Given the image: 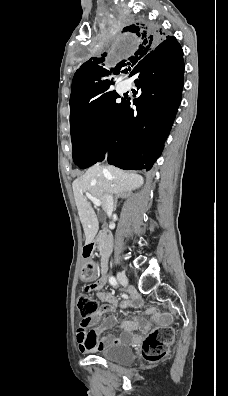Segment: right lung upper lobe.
<instances>
[{"label":"right lung upper lobe","mask_w":228,"mask_h":396,"mask_svg":"<svg viewBox=\"0 0 228 396\" xmlns=\"http://www.w3.org/2000/svg\"><path fill=\"white\" fill-rule=\"evenodd\" d=\"M129 31L136 33L139 38V46L133 56L120 61L109 71L100 65L105 60L106 53H104L102 58H90L75 72L70 96V118L83 112L103 95V92L109 88L110 84H113L112 81H101V77L109 76L111 72L118 74L124 66L130 64L133 67L130 74L132 76L138 68L139 62L145 57L150 56L158 46L161 49L164 46L169 47L178 43L175 37L169 36L157 46V41L160 35H162V32L160 31L159 33L156 31V33H150L144 26H132L129 28Z\"/></svg>","instance_id":"1"}]
</instances>
